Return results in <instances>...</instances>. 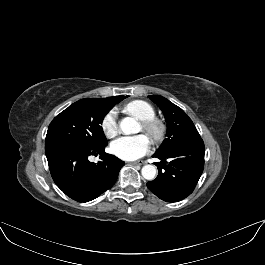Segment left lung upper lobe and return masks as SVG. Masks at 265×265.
I'll return each instance as SVG.
<instances>
[{
    "instance_id": "left-lung-upper-lobe-1",
    "label": "left lung upper lobe",
    "mask_w": 265,
    "mask_h": 265,
    "mask_svg": "<svg viewBox=\"0 0 265 265\" xmlns=\"http://www.w3.org/2000/svg\"><path fill=\"white\" fill-rule=\"evenodd\" d=\"M149 98L161 109L167 122V138L156 153H166L177 146L201 139L192 120L181 108L160 95H150Z\"/></svg>"
}]
</instances>
